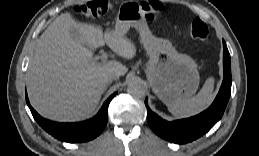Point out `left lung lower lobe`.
Listing matches in <instances>:
<instances>
[{
    "instance_id": "obj_1",
    "label": "left lung lower lobe",
    "mask_w": 259,
    "mask_h": 156,
    "mask_svg": "<svg viewBox=\"0 0 259 156\" xmlns=\"http://www.w3.org/2000/svg\"><path fill=\"white\" fill-rule=\"evenodd\" d=\"M223 69V82L214 102L207 110L194 117L168 122L150 110L146 99L147 121L151 129L165 140L177 144L191 142L208 132L221 119L231 94L230 54L224 40Z\"/></svg>"
}]
</instances>
